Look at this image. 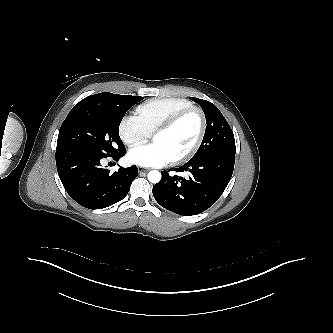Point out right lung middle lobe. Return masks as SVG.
I'll return each instance as SVG.
<instances>
[{"label": "right lung middle lobe", "instance_id": "obj_1", "mask_svg": "<svg viewBox=\"0 0 333 333\" xmlns=\"http://www.w3.org/2000/svg\"><path fill=\"white\" fill-rule=\"evenodd\" d=\"M143 97L99 93L77 103L64 120L57 148L88 150L103 157L125 151L118 129L126 112Z\"/></svg>", "mask_w": 333, "mask_h": 333}]
</instances>
